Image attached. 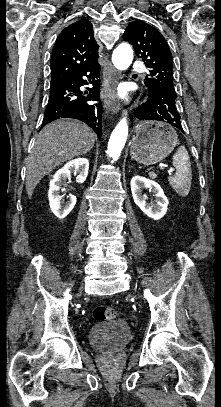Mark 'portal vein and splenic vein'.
I'll return each mask as SVG.
<instances>
[{
    "mask_svg": "<svg viewBox=\"0 0 221 407\" xmlns=\"http://www.w3.org/2000/svg\"><path fill=\"white\" fill-rule=\"evenodd\" d=\"M160 169H161V170H166L169 174H172V173H173V169H167V168H165L164 166H160Z\"/></svg>",
    "mask_w": 221,
    "mask_h": 407,
    "instance_id": "portal-vein-and-splenic-vein-1",
    "label": "portal vein and splenic vein"
}]
</instances>
